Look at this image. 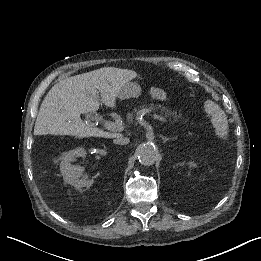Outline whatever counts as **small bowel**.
Masks as SVG:
<instances>
[{
  "label": "small bowel",
  "instance_id": "c3829d8e",
  "mask_svg": "<svg viewBox=\"0 0 261 261\" xmlns=\"http://www.w3.org/2000/svg\"><path fill=\"white\" fill-rule=\"evenodd\" d=\"M149 93L154 99L160 101H164L167 98L166 92L159 87L150 88Z\"/></svg>",
  "mask_w": 261,
  "mask_h": 261
}]
</instances>
